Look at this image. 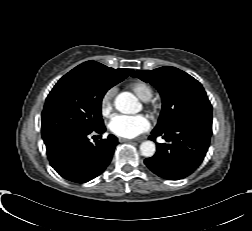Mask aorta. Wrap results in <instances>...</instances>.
Masks as SVG:
<instances>
[{"instance_id": "obj_1", "label": "aorta", "mask_w": 252, "mask_h": 231, "mask_svg": "<svg viewBox=\"0 0 252 231\" xmlns=\"http://www.w3.org/2000/svg\"><path fill=\"white\" fill-rule=\"evenodd\" d=\"M115 108L124 114H134L139 111L138 99L129 92L120 93L115 99ZM155 143L147 140L141 143L140 152L145 157H152L155 154Z\"/></svg>"}]
</instances>
